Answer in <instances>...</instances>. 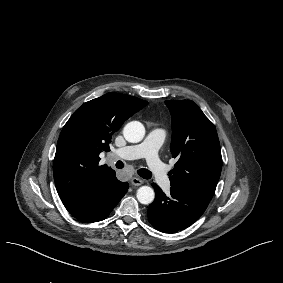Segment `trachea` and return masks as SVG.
<instances>
[{
    "mask_svg": "<svg viewBox=\"0 0 283 283\" xmlns=\"http://www.w3.org/2000/svg\"><path fill=\"white\" fill-rule=\"evenodd\" d=\"M116 168L122 169L124 168V163L122 161H117ZM137 174L144 179H150L152 177V173L148 169H138Z\"/></svg>",
    "mask_w": 283,
    "mask_h": 283,
    "instance_id": "3493384b",
    "label": "trachea"
}]
</instances>
